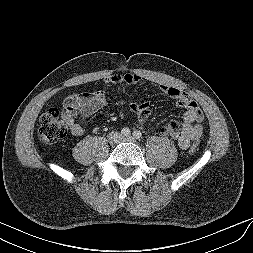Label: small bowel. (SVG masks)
I'll list each match as a JSON object with an SVG mask.
<instances>
[{"mask_svg": "<svg viewBox=\"0 0 253 253\" xmlns=\"http://www.w3.org/2000/svg\"><path fill=\"white\" fill-rule=\"evenodd\" d=\"M142 81L140 75L130 72H118L106 79L107 84H126L134 86ZM161 90L176 101L178 107L184 109L183 123L180 126L176 120H171L160 133L176 140L178 146L186 150L192 141L199 140L203 133V114L197 103L185 92L172 85H161ZM107 97L104 91L74 92L64 100L63 117L69 125L70 131L75 136L84 133L80 121L88 118L93 113L103 109L107 105ZM119 106L123 103L118 102ZM137 119L145 124L151 116V106L147 101L134 103L131 106Z\"/></svg>", "mask_w": 253, "mask_h": 253, "instance_id": "c3829d8e", "label": "small bowel"}]
</instances>
